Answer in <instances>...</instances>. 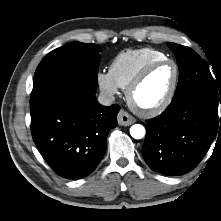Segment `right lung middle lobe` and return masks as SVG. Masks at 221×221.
Listing matches in <instances>:
<instances>
[{"instance_id": "dd1d6c3e", "label": "right lung middle lobe", "mask_w": 221, "mask_h": 221, "mask_svg": "<svg viewBox=\"0 0 221 221\" xmlns=\"http://www.w3.org/2000/svg\"><path fill=\"white\" fill-rule=\"evenodd\" d=\"M100 50L97 44L73 42L50 52L35 71L30 105L63 82L77 81L97 88Z\"/></svg>"}]
</instances>
